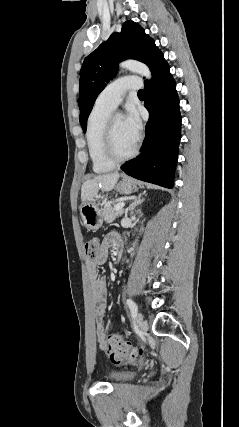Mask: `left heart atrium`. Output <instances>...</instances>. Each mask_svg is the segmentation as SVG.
<instances>
[{
	"label": "left heart atrium",
	"instance_id": "obj_1",
	"mask_svg": "<svg viewBox=\"0 0 239 427\" xmlns=\"http://www.w3.org/2000/svg\"><path fill=\"white\" fill-rule=\"evenodd\" d=\"M123 123L129 135L137 141L141 129V123L135 109H127V112L123 117Z\"/></svg>",
	"mask_w": 239,
	"mask_h": 427
}]
</instances>
